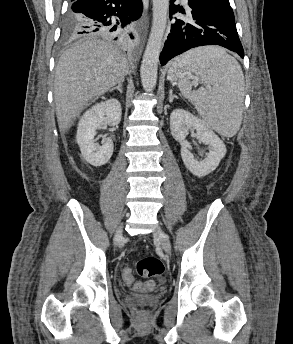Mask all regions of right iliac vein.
I'll return each instance as SVG.
<instances>
[{"label": "right iliac vein", "instance_id": "right-iliac-vein-1", "mask_svg": "<svg viewBox=\"0 0 293 344\" xmlns=\"http://www.w3.org/2000/svg\"><path fill=\"white\" fill-rule=\"evenodd\" d=\"M122 234H123V227L121 226L116 233L115 240L116 241L119 240L122 237Z\"/></svg>", "mask_w": 293, "mask_h": 344}]
</instances>
